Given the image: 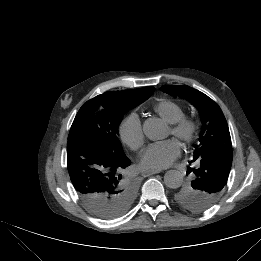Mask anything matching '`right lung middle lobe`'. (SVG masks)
<instances>
[{"instance_id":"1","label":"right lung middle lobe","mask_w":261,"mask_h":261,"mask_svg":"<svg viewBox=\"0 0 261 261\" xmlns=\"http://www.w3.org/2000/svg\"><path fill=\"white\" fill-rule=\"evenodd\" d=\"M104 94L87 101L80 108L71 126L68 140L77 137L88 138L103 149L123 153L122 145L117 138L123 113L150 96L119 98L116 95ZM136 190L133 180L120 176L113 185L99 187L89 198L81 200L93 215L102 219H112L122 215L130 207L135 199Z\"/></svg>"}]
</instances>
